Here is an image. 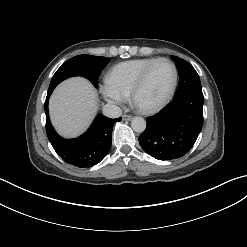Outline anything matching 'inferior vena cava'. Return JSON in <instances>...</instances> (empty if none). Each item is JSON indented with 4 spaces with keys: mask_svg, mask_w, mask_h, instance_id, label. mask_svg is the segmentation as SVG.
<instances>
[{
    "mask_svg": "<svg viewBox=\"0 0 247 247\" xmlns=\"http://www.w3.org/2000/svg\"><path fill=\"white\" fill-rule=\"evenodd\" d=\"M103 114L109 118H118L122 114V110L113 104H106L103 107Z\"/></svg>",
    "mask_w": 247,
    "mask_h": 247,
    "instance_id": "1",
    "label": "inferior vena cava"
}]
</instances>
